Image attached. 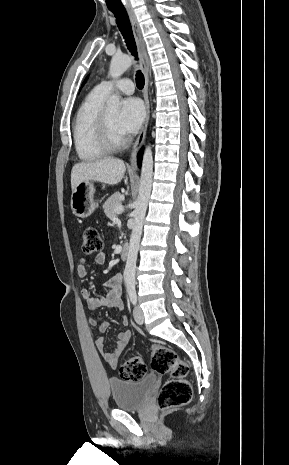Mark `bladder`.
Returning a JSON list of instances; mask_svg holds the SVG:
<instances>
[{"label": "bladder", "instance_id": "31cf9c89", "mask_svg": "<svg viewBox=\"0 0 289 465\" xmlns=\"http://www.w3.org/2000/svg\"><path fill=\"white\" fill-rule=\"evenodd\" d=\"M156 375H147L140 380L110 379L109 388L114 404L120 410H137L144 406L157 384Z\"/></svg>", "mask_w": 289, "mask_h": 465}]
</instances>
